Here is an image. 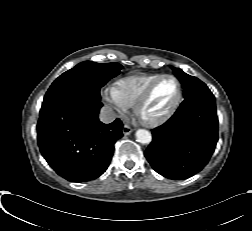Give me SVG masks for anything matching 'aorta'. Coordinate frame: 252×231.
Segmentation results:
<instances>
[{
	"label": "aorta",
	"mask_w": 252,
	"mask_h": 231,
	"mask_svg": "<svg viewBox=\"0 0 252 231\" xmlns=\"http://www.w3.org/2000/svg\"><path fill=\"white\" fill-rule=\"evenodd\" d=\"M136 139L141 144H149L152 141L151 133L145 129H139L136 131Z\"/></svg>",
	"instance_id": "aorta-1"
}]
</instances>
